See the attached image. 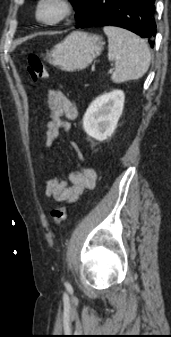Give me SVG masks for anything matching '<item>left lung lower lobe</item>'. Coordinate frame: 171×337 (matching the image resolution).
<instances>
[{
	"label": "left lung lower lobe",
	"mask_w": 171,
	"mask_h": 337,
	"mask_svg": "<svg viewBox=\"0 0 171 337\" xmlns=\"http://www.w3.org/2000/svg\"><path fill=\"white\" fill-rule=\"evenodd\" d=\"M155 0H88L76 28L118 26L147 38L156 35Z\"/></svg>",
	"instance_id": "obj_1"
}]
</instances>
